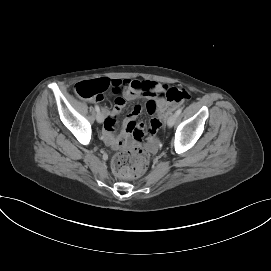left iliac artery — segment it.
<instances>
[{
  "label": "left iliac artery",
  "mask_w": 271,
  "mask_h": 271,
  "mask_svg": "<svg viewBox=\"0 0 271 271\" xmlns=\"http://www.w3.org/2000/svg\"><path fill=\"white\" fill-rule=\"evenodd\" d=\"M182 112V108H179L177 111H176V115L179 116Z\"/></svg>",
  "instance_id": "1"
}]
</instances>
